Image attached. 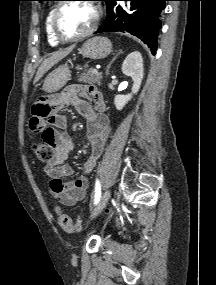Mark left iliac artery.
<instances>
[{
    "label": "left iliac artery",
    "mask_w": 216,
    "mask_h": 285,
    "mask_svg": "<svg viewBox=\"0 0 216 285\" xmlns=\"http://www.w3.org/2000/svg\"><path fill=\"white\" fill-rule=\"evenodd\" d=\"M100 197H101V185H100L99 180H96L94 204H97L99 202Z\"/></svg>",
    "instance_id": "left-iliac-artery-1"
}]
</instances>
